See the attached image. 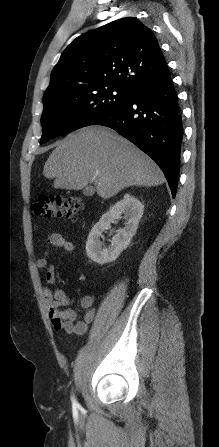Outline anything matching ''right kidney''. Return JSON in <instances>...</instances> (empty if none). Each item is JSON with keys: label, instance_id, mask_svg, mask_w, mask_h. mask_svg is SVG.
<instances>
[{"label": "right kidney", "instance_id": "right-kidney-1", "mask_svg": "<svg viewBox=\"0 0 219 447\" xmlns=\"http://www.w3.org/2000/svg\"><path fill=\"white\" fill-rule=\"evenodd\" d=\"M143 211L144 205L137 198L125 194L123 199L110 207L91 229L86 242L87 256L100 265L115 261L136 234ZM121 215H124L125 227L118 230L108 248H102L100 241L102 232L109 229L111 222L120 219Z\"/></svg>", "mask_w": 219, "mask_h": 447}]
</instances>
